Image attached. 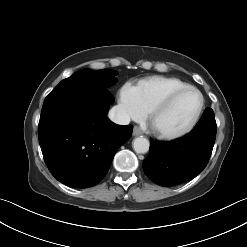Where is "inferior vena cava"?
<instances>
[{"label":"inferior vena cava","instance_id":"602c4592","mask_svg":"<svg viewBox=\"0 0 247 247\" xmlns=\"http://www.w3.org/2000/svg\"><path fill=\"white\" fill-rule=\"evenodd\" d=\"M109 119L116 124L127 125L130 123V116L126 110L121 106H114L109 111Z\"/></svg>","mask_w":247,"mask_h":247}]
</instances>
